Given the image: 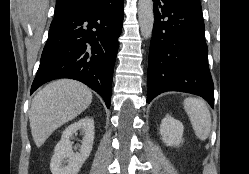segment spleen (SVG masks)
<instances>
[{
	"mask_svg": "<svg viewBox=\"0 0 249 174\" xmlns=\"http://www.w3.org/2000/svg\"><path fill=\"white\" fill-rule=\"evenodd\" d=\"M184 109L190 118L196 136L200 140L208 138L211 131V114L205 102L198 98H186Z\"/></svg>",
	"mask_w": 249,
	"mask_h": 174,
	"instance_id": "obj_1",
	"label": "spleen"
}]
</instances>
